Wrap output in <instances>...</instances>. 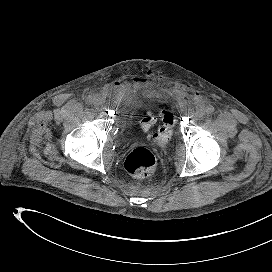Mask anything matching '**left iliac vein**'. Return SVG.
Wrapping results in <instances>:
<instances>
[{
	"label": "left iliac vein",
	"mask_w": 272,
	"mask_h": 272,
	"mask_svg": "<svg viewBox=\"0 0 272 272\" xmlns=\"http://www.w3.org/2000/svg\"><path fill=\"white\" fill-rule=\"evenodd\" d=\"M206 113V107L204 105H198L196 107V117L200 118Z\"/></svg>",
	"instance_id": "left-iliac-vein-1"
}]
</instances>
